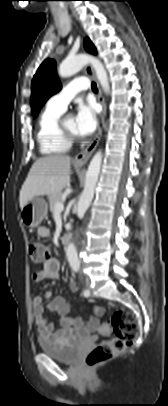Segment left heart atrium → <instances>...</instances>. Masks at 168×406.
<instances>
[{
	"mask_svg": "<svg viewBox=\"0 0 168 406\" xmlns=\"http://www.w3.org/2000/svg\"><path fill=\"white\" fill-rule=\"evenodd\" d=\"M76 133L80 136L91 135L97 127L95 109L89 104H80L75 116Z\"/></svg>",
	"mask_w": 168,
	"mask_h": 406,
	"instance_id": "left-heart-atrium-1",
	"label": "left heart atrium"
}]
</instances>
